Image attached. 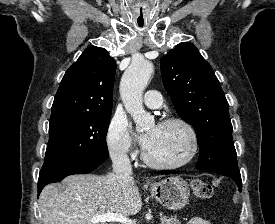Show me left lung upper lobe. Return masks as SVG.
Segmentation results:
<instances>
[{
  "mask_svg": "<svg viewBox=\"0 0 275 224\" xmlns=\"http://www.w3.org/2000/svg\"><path fill=\"white\" fill-rule=\"evenodd\" d=\"M163 84L178 115L197 135V165L221 175H240L225 94L210 64L191 43L182 42L160 63Z\"/></svg>",
  "mask_w": 275,
  "mask_h": 224,
  "instance_id": "1",
  "label": "left lung upper lobe"
}]
</instances>
